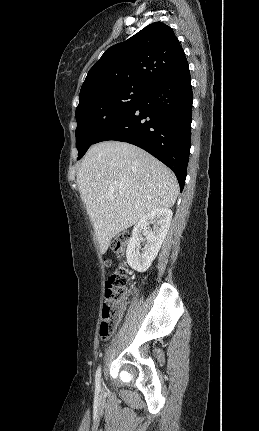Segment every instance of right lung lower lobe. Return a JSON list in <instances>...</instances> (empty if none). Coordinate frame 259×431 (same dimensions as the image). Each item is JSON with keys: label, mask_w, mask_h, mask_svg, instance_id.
I'll return each instance as SVG.
<instances>
[{"label": "right lung lower lobe", "mask_w": 259, "mask_h": 431, "mask_svg": "<svg viewBox=\"0 0 259 431\" xmlns=\"http://www.w3.org/2000/svg\"><path fill=\"white\" fill-rule=\"evenodd\" d=\"M192 102L187 67L148 88L96 143L117 140L146 150L173 170L182 191L191 147Z\"/></svg>", "instance_id": "right-lung-lower-lobe-1"}]
</instances>
